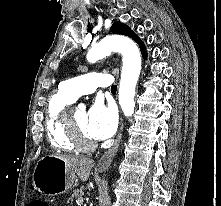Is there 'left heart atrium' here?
Instances as JSON below:
<instances>
[{
	"label": "left heart atrium",
	"instance_id": "1",
	"mask_svg": "<svg viewBox=\"0 0 221 206\" xmlns=\"http://www.w3.org/2000/svg\"><path fill=\"white\" fill-rule=\"evenodd\" d=\"M117 125V114L112 106L96 102L87 113L86 129L91 138H109L115 133Z\"/></svg>",
	"mask_w": 221,
	"mask_h": 206
}]
</instances>
